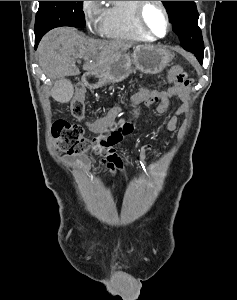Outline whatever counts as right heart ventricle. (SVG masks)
Returning a JSON list of instances; mask_svg holds the SVG:
<instances>
[{
    "label": "right heart ventricle",
    "instance_id": "obj_1",
    "mask_svg": "<svg viewBox=\"0 0 237 300\" xmlns=\"http://www.w3.org/2000/svg\"><path fill=\"white\" fill-rule=\"evenodd\" d=\"M140 1H109L105 8L101 25L103 35L110 37H129L148 39L137 18Z\"/></svg>",
    "mask_w": 237,
    "mask_h": 300
}]
</instances>
